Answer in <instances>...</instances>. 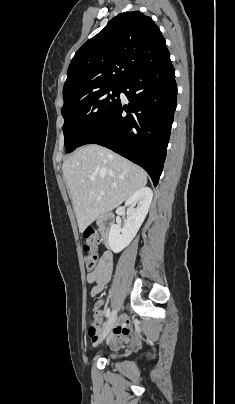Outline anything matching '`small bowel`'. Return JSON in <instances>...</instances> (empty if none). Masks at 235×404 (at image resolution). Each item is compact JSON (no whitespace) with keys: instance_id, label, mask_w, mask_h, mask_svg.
Instances as JSON below:
<instances>
[{"instance_id":"1","label":"small bowel","mask_w":235,"mask_h":404,"mask_svg":"<svg viewBox=\"0 0 235 404\" xmlns=\"http://www.w3.org/2000/svg\"><path fill=\"white\" fill-rule=\"evenodd\" d=\"M112 270L113 255L108 250L103 251L100 255L96 267L86 276L87 282L93 285L90 291L91 296H97L103 291L106 284L110 281ZM94 307L97 309H101L103 307V301H96ZM102 313L106 316V311H102ZM129 323V318L126 315H122L119 323L113 326V328L109 332V344L111 347H117L126 339L129 334ZM105 328V324L101 329L98 327L89 328L88 334L91 338L92 343L95 344L98 341L100 332H104Z\"/></svg>"}]
</instances>
